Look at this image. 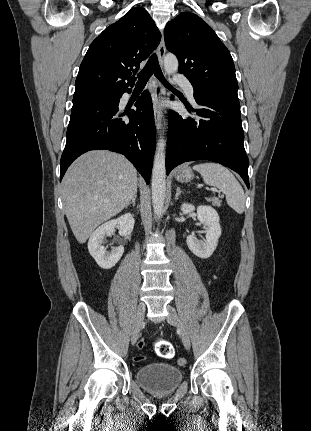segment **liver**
Segmentation results:
<instances>
[{
	"instance_id": "obj_1",
	"label": "liver",
	"mask_w": 311,
	"mask_h": 431,
	"mask_svg": "<svg viewBox=\"0 0 311 431\" xmlns=\"http://www.w3.org/2000/svg\"><path fill=\"white\" fill-rule=\"evenodd\" d=\"M137 170L125 156L95 150L77 158L62 182L66 217L79 243L97 225L116 216L137 194Z\"/></svg>"
}]
</instances>
